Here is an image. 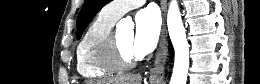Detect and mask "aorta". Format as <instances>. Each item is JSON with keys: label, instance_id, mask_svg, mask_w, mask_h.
I'll return each mask as SVG.
<instances>
[{"label": "aorta", "instance_id": "obj_1", "mask_svg": "<svg viewBox=\"0 0 260 84\" xmlns=\"http://www.w3.org/2000/svg\"><path fill=\"white\" fill-rule=\"evenodd\" d=\"M169 36L175 51L173 73L170 84H186L189 69V44L176 0H172L167 14ZM131 30L132 25H127Z\"/></svg>", "mask_w": 260, "mask_h": 84}]
</instances>
